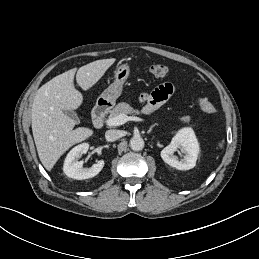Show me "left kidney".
Instances as JSON below:
<instances>
[{"instance_id":"5707ae66","label":"left kidney","mask_w":259,"mask_h":259,"mask_svg":"<svg viewBox=\"0 0 259 259\" xmlns=\"http://www.w3.org/2000/svg\"><path fill=\"white\" fill-rule=\"evenodd\" d=\"M176 151L183 154L180 160L174 155ZM199 151V144L194 131L191 128H183L172 138L171 143L161 151V157L165 163L178 170H189L195 167Z\"/></svg>"}]
</instances>
